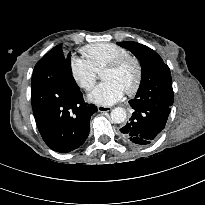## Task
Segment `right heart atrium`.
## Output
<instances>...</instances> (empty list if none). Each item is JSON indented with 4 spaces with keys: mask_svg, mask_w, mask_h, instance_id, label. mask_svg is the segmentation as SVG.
<instances>
[{
    "mask_svg": "<svg viewBox=\"0 0 205 205\" xmlns=\"http://www.w3.org/2000/svg\"><path fill=\"white\" fill-rule=\"evenodd\" d=\"M69 71L74 83L84 91H90L96 82V71L90 64L79 57H72Z\"/></svg>",
    "mask_w": 205,
    "mask_h": 205,
    "instance_id": "right-heart-atrium-1",
    "label": "right heart atrium"
}]
</instances>
